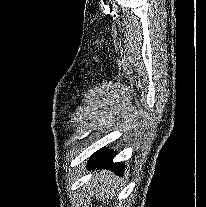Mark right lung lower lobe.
Instances as JSON below:
<instances>
[{
	"label": "right lung lower lobe",
	"mask_w": 206,
	"mask_h": 207,
	"mask_svg": "<svg viewBox=\"0 0 206 207\" xmlns=\"http://www.w3.org/2000/svg\"><path fill=\"white\" fill-rule=\"evenodd\" d=\"M116 154L106 150H100L92 155L90 158L89 168H109L118 174H123L124 167L122 163H113V158Z\"/></svg>",
	"instance_id": "1"
}]
</instances>
